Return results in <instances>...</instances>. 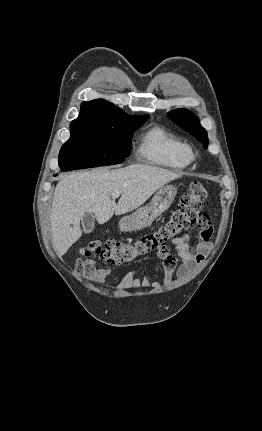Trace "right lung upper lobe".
<instances>
[{
	"label": "right lung upper lobe",
	"mask_w": 262,
	"mask_h": 431,
	"mask_svg": "<svg viewBox=\"0 0 262 431\" xmlns=\"http://www.w3.org/2000/svg\"><path fill=\"white\" fill-rule=\"evenodd\" d=\"M147 116V115H145ZM142 116H129L112 103L103 99L85 101L81 105V111L77 119L71 124L78 123H107L113 120L136 118Z\"/></svg>",
	"instance_id": "right-lung-upper-lobe-1"
}]
</instances>
